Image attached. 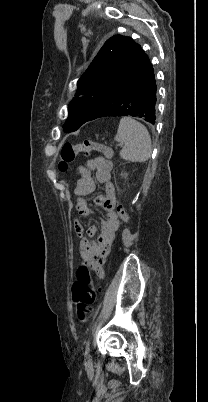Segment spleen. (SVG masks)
I'll use <instances>...</instances> for the list:
<instances>
[{"label": "spleen", "instance_id": "3e777b00", "mask_svg": "<svg viewBox=\"0 0 208 402\" xmlns=\"http://www.w3.org/2000/svg\"><path fill=\"white\" fill-rule=\"evenodd\" d=\"M116 142L124 144L120 156L128 162H146L152 152L151 138L148 130L143 124L132 120V118H122L115 136Z\"/></svg>", "mask_w": 208, "mask_h": 402}]
</instances>
